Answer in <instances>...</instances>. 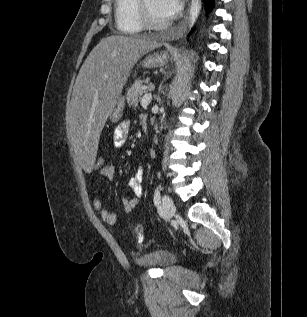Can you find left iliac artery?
I'll use <instances>...</instances> for the list:
<instances>
[{
	"label": "left iliac artery",
	"instance_id": "1",
	"mask_svg": "<svg viewBox=\"0 0 307 317\" xmlns=\"http://www.w3.org/2000/svg\"><path fill=\"white\" fill-rule=\"evenodd\" d=\"M160 199H161L160 188L156 187L155 191H154V205L155 206H159L160 205V202H161Z\"/></svg>",
	"mask_w": 307,
	"mask_h": 317
}]
</instances>
